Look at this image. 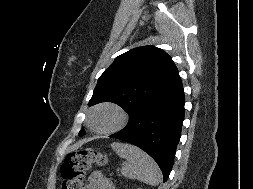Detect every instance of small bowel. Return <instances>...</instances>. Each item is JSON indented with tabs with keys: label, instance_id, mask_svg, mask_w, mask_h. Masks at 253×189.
Returning a JSON list of instances; mask_svg holds the SVG:
<instances>
[{
	"label": "small bowel",
	"instance_id": "c3829d8e",
	"mask_svg": "<svg viewBox=\"0 0 253 189\" xmlns=\"http://www.w3.org/2000/svg\"><path fill=\"white\" fill-rule=\"evenodd\" d=\"M86 189H114L112 181L101 171L90 174Z\"/></svg>",
	"mask_w": 253,
	"mask_h": 189
}]
</instances>
